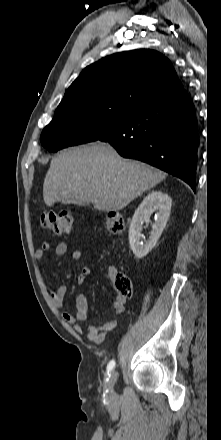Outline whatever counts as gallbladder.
<instances>
[{"instance_id":"obj_1","label":"gallbladder","mask_w":221,"mask_h":440,"mask_svg":"<svg viewBox=\"0 0 221 440\" xmlns=\"http://www.w3.org/2000/svg\"><path fill=\"white\" fill-rule=\"evenodd\" d=\"M63 204H70V203H74L77 205H82V206H86L89 205L90 202L89 201H82V200H73V199H67L62 201Z\"/></svg>"}]
</instances>
